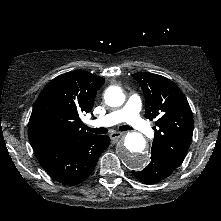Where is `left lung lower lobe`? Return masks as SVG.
I'll return each mask as SVG.
<instances>
[{"instance_id": "1", "label": "left lung lower lobe", "mask_w": 221, "mask_h": 221, "mask_svg": "<svg viewBox=\"0 0 221 221\" xmlns=\"http://www.w3.org/2000/svg\"><path fill=\"white\" fill-rule=\"evenodd\" d=\"M174 169H172L158 154L151 155V162L142 171L135 172L133 175L143 183H156L167 178Z\"/></svg>"}]
</instances>
